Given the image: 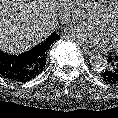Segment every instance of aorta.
Returning a JSON list of instances; mask_svg holds the SVG:
<instances>
[{
	"label": "aorta",
	"mask_w": 118,
	"mask_h": 118,
	"mask_svg": "<svg viewBox=\"0 0 118 118\" xmlns=\"http://www.w3.org/2000/svg\"><path fill=\"white\" fill-rule=\"evenodd\" d=\"M80 13L82 17L90 18L94 14V4L86 2L81 6ZM91 68L94 71H103L108 65L107 58L101 54H95L90 59Z\"/></svg>",
	"instance_id": "obj_1"
}]
</instances>
